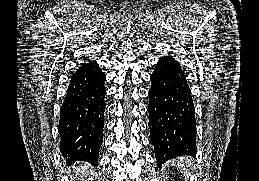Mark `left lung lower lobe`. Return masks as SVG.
I'll return each mask as SVG.
<instances>
[{"label": "left lung lower lobe", "mask_w": 259, "mask_h": 181, "mask_svg": "<svg viewBox=\"0 0 259 181\" xmlns=\"http://www.w3.org/2000/svg\"><path fill=\"white\" fill-rule=\"evenodd\" d=\"M150 141L156 162L196 155L195 109L182 67L173 57H161L151 74Z\"/></svg>", "instance_id": "0a47b994"}]
</instances>
